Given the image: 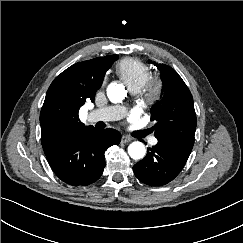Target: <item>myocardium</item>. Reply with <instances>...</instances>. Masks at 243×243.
<instances>
[{"mask_svg": "<svg viewBox=\"0 0 243 243\" xmlns=\"http://www.w3.org/2000/svg\"><path fill=\"white\" fill-rule=\"evenodd\" d=\"M161 87V80L156 77H151L143 87L145 100L148 102L155 100L160 94Z\"/></svg>", "mask_w": 243, "mask_h": 243, "instance_id": "obj_1", "label": "myocardium"}]
</instances>
